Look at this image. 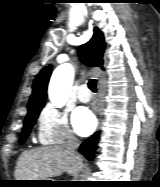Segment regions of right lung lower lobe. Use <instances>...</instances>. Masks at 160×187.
I'll return each mask as SVG.
<instances>
[{"label": "right lung lower lobe", "mask_w": 160, "mask_h": 187, "mask_svg": "<svg viewBox=\"0 0 160 187\" xmlns=\"http://www.w3.org/2000/svg\"><path fill=\"white\" fill-rule=\"evenodd\" d=\"M99 134V132H96L93 136L84 141L79 147V152L82 153L90 161L95 157L96 150L98 148Z\"/></svg>", "instance_id": "1"}]
</instances>
